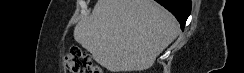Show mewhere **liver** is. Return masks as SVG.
<instances>
[{
    "instance_id": "6515ba94",
    "label": "liver",
    "mask_w": 244,
    "mask_h": 73,
    "mask_svg": "<svg viewBox=\"0 0 244 73\" xmlns=\"http://www.w3.org/2000/svg\"><path fill=\"white\" fill-rule=\"evenodd\" d=\"M179 33L175 17L153 0H98L74 39L113 73L150 68Z\"/></svg>"
}]
</instances>
